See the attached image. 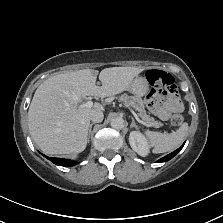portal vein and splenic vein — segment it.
<instances>
[{
  "mask_svg": "<svg viewBox=\"0 0 223 223\" xmlns=\"http://www.w3.org/2000/svg\"><path fill=\"white\" fill-rule=\"evenodd\" d=\"M93 105H94V102L88 101L86 103H82V104L78 105L77 108H92ZM126 107H127V104H126ZM127 109L131 112V114L134 117V120L136 122L138 121L140 124L142 123L143 125H145L147 127L153 126L155 128L157 126L155 123L152 125V122H148V121L146 123L143 122L132 107L129 106V107H127Z\"/></svg>",
  "mask_w": 223,
  "mask_h": 223,
  "instance_id": "18ae733b",
  "label": "portal vein and splenic vein"
}]
</instances>
